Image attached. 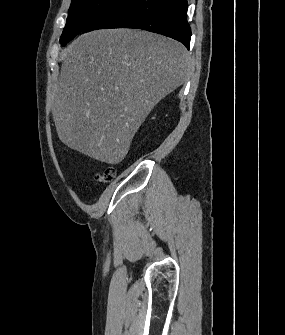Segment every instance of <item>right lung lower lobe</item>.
Segmentation results:
<instances>
[{
	"mask_svg": "<svg viewBox=\"0 0 285 335\" xmlns=\"http://www.w3.org/2000/svg\"><path fill=\"white\" fill-rule=\"evenodd\" d=\"M187 0H117L84 29L137 28L171 37L188 49Z\"/></svg>",
	"mask_w": 285,
	"mask_h": 335,
	"instance_id": "98d812e1",
	"label": "right lung lower lobe"
}]
</instances>
